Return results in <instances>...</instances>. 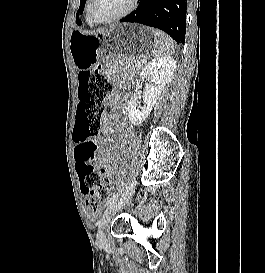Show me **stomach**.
<instances>
[{
  "instance_id": "obj_1",
  "label": "stomach",
  "mask_w": 265,
  "mask_h": 273,
  "mask_svg": "<svg viewBox=\"0 0 265 273\" xmlns=\"http://www.w3.org/2000/svg\"><path fill=\"white\" fill-rule=\"evenodd\" d=\"M97 34L74 31L70 37V52L74 63L85 69L99 60V64H132L138 56H154L161 44L157 30L149 25H107ZM102 49H129V51H102ZM107 56V59H100Z\"/></svg>"
}]
</instances>
